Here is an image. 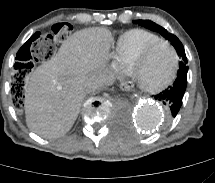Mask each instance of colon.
<instances>
[{"mask_svg": "<svg viewBox=\"0 0 215 183\" xmlns=\"http://www.w3.org/2000/svg\"><path fill=\"white\" fill-rule=\"evenodd\" d=\"M69 23H56L52 32L47 34L43 29H36L30 37H26L14 47L12 91V112L16 116H23L27 112L26 91L23 89L27 73L36 63L50 60L56 51L57 42L66 40L71 32Z\"/></svg>", "mask_w": 215, "mask_h": 183, "instance_id": "obj_1", "label": "colon"}]
</instances>
